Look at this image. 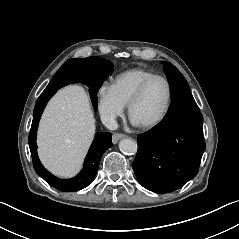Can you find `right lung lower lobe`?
<instances>
[{
	"mask_svg": "<svg viewBox=\"0 0 239 239\" xmlns=\"http://www.w3.org/2000/svg\"><path fill=\"white\" fill-rule=\"evenodd\" d=\"M112 71L113 64L97 56L83 59H69L62 65L52 79L53 84L51 88L47 91H43L36 102L33 111L31 131L28 138L33 166L36 173L57 190L73 192L81 190L92 183L103 153L113 146L112 134L104 132L97 133L85 159L82 171L74 178L60 179L43 167L37 155L36 133L42 112L56 91L71 83L87 85L90 88L93 106L97 109L96 94Z\"/></svg>",
	"mask_w": 239,
	"mask_h": 239,
	"instance_id": "98d812e1",
	"label": "right lung lower lobe"
}]
</instances>
